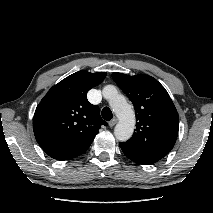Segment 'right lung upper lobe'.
I'll list each match as a JSON object with an SVG mask.
<instances>
[{"mask_svg":"<svg viewBox=\"0 0 213 213\" xmlns=\"http://www.w3.org/2000/svg\"><path fill=\"white\" fill-rule=\"evenodd\" d=\"M105 72L78 71L53 86L36 108L34 135L46 154L57 160L77 157L90 147L102 120L87 92L99 85Z\"/></svg>","mask_w":213,"mask_h":213,"instance_id":"obj_1","label":"right lung upper lobe"}]
</instances>
